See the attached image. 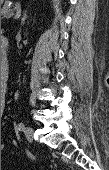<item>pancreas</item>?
<instances>
[{
  "mask_svg": "<svg viewBox=\"0 0 109 170\" xmlns=\"http://www.w3.org/2000/svg\"><path fill=\"white\" fill-rule=\"evenodd\" d=\"M11 13V9H9L7 6H3L1 8V19L7 18V16Z\"/></svg>",
  "mask_w": 109,
  "mask_h": 170,
  "instance_id": "1",
  "label": "pancreas"
}]
</instances>
